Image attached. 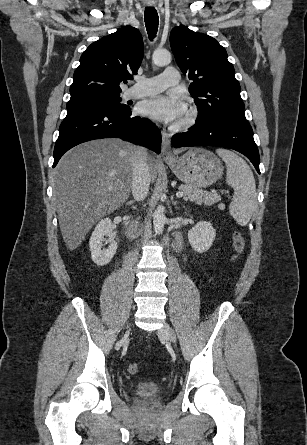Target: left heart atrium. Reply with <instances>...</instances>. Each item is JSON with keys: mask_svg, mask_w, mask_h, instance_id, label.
<instances>
[{"mask_svg": "<svg viewBox=\"0 0 307 445\" xmlns=\"http://www.w3.org/2000/svg\"><path fill=\"white\" fill-rule=\"evenodd\" d=\"M140 112L157 120L169 122L184 118L186 104L176 93L161 92L146 99L141 105Z\"/></svg>", "mask_w": 307, "mask_h": 445, "instance_id": "39dd6f15", "label": "left heart atrium"}]
</instances>
